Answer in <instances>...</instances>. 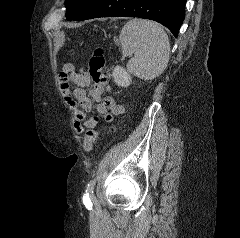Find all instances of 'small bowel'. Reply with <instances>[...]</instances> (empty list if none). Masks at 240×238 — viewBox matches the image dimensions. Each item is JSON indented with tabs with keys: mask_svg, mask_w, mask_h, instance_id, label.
<instances>
[{
	"mask_svg": "<svg viewBox=\"0 0 240 238\" xmlns=\"http://www.w3.org/2000/svg\"><path fill=\"white\" fill-rule=\"evenodd\" d=\"M71 82L79 87L72 90ZM59 83L64 99L73 111L74 126L79 132H82V123L87 128H93L98 122L97 117H87V113L93 109V101L96 103L97 112L104 117L106 123H110L114 116L124 112L123 106L116 104L112 97H103L104 86L102 84L94 82L91 85L87 71L76 70L70 63L63 65L59 74ZM86 88H89V95L85 91Z\"/></svg>",
	"mask_w": 240,
	"mask_h": 238,
	"instance_id": "c3829d8e",
	"label": "small bowel"
}]
</instances>
